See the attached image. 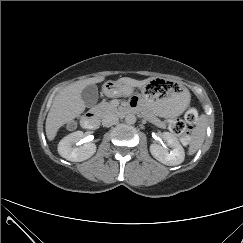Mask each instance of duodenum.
<instances>
[{"mask_svg": "<svg viewBox=\"0 0 243 243\" xmlns=\"http://www.w3.org/2000/svg\"><path fill=\"white\" fill-rule=\"evenodd\" d=\"M130 112V108H123L118 111L120 116H124ZM81 124L86 129H96L98 127V118L92 111L87 112L81 121Z\"/></svg>", "mask_w": 243, "mask_h": 243, "instance_id": "410a0bca", "label": "duodenum"}]
</instances>
